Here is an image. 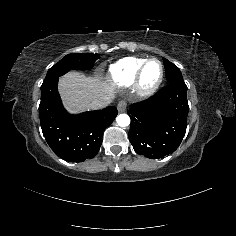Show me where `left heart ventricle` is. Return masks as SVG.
Segmentation results:
<instances>
[{"label": "left heart ventricle", "instance_id": "1", "mask_svg": "<svg viewBox=\"0 0 236 236\" xmlns=\"http://www.w3.org/2000/svg\"><path fill=\"white\" fill-rule=\"evenodd\" d=\"M161 74H162L161 65L157 61L150 62L143 73L141 79V85L144 88L153 87L160 79Z\"/></svg>", "mask_w": 236, "mask_h": 236}]
</instances>
